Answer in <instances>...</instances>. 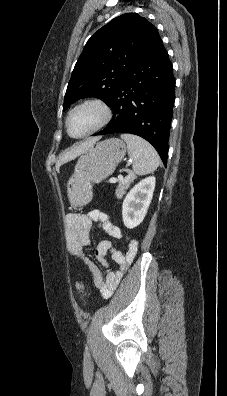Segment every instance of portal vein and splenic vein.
Masks as SVG:
<instances>
[{"mask_svg":"<svg viewBox=\"0 0 227 396\" xmlns=\"http://www.w3.org/2000/svg\"><path fill=\"white\" fill-rule=\"evenodd\" d=\"M123 179V176L121 174L118 175V180Z\"/></svg>","mask_w":227,"mask_h":396,"instance_id":"portal-vein-and-splenic-vein-1","label":"portal vein and splenic vein"}]
</instances>
